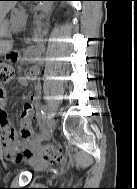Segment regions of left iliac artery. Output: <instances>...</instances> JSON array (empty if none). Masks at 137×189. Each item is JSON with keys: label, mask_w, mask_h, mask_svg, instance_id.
<instances>
[{"label": "left iliac artery", "mask_w": 137, "mask_h": 189, "mask_svg": "<svg viewBox=\"0 0 137 189\" xmlns=\"http://www.w3.org/2000/svg\"><path fill=\"white\" fill-rule=\"evenodd\" d=\"M45 111H46V107L45 106H41L39 112L37 113V118L39 121V130L37 133V136H41V133H43L44 127L45 125H43V120L45 117Z\"/></svg>", "instance_id": "left-iliac-artery-1"}]
</instances>
